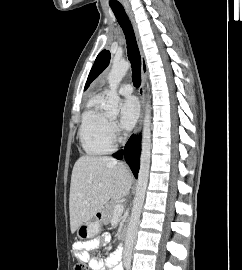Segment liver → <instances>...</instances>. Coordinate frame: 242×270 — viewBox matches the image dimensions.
<instances>
[{
	"mask_svg": "<svg viewBox=\"0 0 242 270\" xmlns=\"http://www.w3.org/2000/svg\"><path fill=\"white\" fill-rule=\"evenodd\" d=\"M132 176L127 167L108 156H82L72 171L69 212L70 227L92 219L106 203L123 199L130 191Z\"/></svg>",
	"mask_w": 242,
	"mask_h": 270,
	"instance_id": "obj_1",
	"label": "liver"
}]
</instances>
